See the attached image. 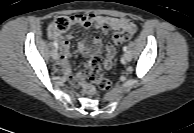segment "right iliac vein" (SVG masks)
<instances>
[{"label": "right iliac vein", "instance_id": "right-iliac-vein-1", "mask_svg": "<svg viewBox=\"0 0 194 133\" xmlns=\"http://www.w3.org/2000/svg\"><path fill=\"white\" fill-rule=\"evenodd\" d=\"M52 57H53L54 60H58L59 54H58L57 50L52 51Z\"/></svg>", "mask_w": 194, "mask_h": 133}]
</instances>
